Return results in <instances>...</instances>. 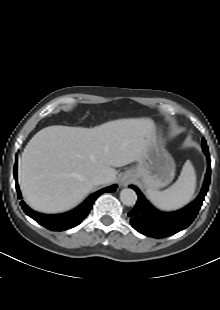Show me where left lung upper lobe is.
I'll return each instance as SVG.
<instances>
[{"label":"left lung upper lobe","instance_id":"5c2ea615","mask_svg":"<svg viewBox=\"0 0 220 310\" xmlns=\"http://www.w3.org/2000/svg\"><path fill=\"white\" fill-rule=\"evenodd\" d=\"M202 148H203V150L208 148L204 138L202 139Z\"/></svg>","mask_w":220,"mask_h":310}]
</instances>
